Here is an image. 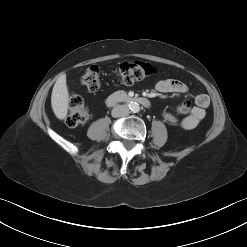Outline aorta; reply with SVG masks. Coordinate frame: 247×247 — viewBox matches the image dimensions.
<instances>
[{
    "mask_svg": "<svg viewBox=\"0 0 247 247\" xmlns=\"http://www.w3.org/2000/svg\"><path fill=\"white\" fill-rule=\"evenodd\" d=\"M130 109L132 112H138L140 110V107H139V104L138 103H133L131 106H130Z\"/></svg>",
    "mask_w": 247,
    "mask_h": 247,
    "instance_id": "1",
    "label": "aorta"
}]
</instances>
